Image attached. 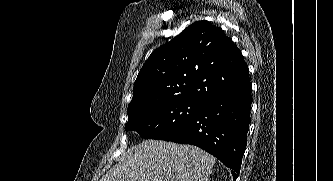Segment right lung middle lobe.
Segmentation results:
<instances>
[{"instance_id":"1","label":"right lung middle lobe","mask_w":333,"mask_h":181,"mask_svg":"<svg viewBox=\"0 0 333 181\" xmlns=\"http://www.w3.org/2000/svg\"><path fill=\"white\" fill-rule=\"evenodd\" d=\"M201 103L168 100L140 107L128 113L125 130L136 131L145 139L168 140L194 118Z\"/></svg>"}]
</instances>
